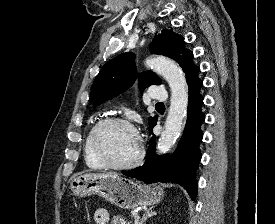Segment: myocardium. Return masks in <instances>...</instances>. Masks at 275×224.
Segmentation results:
<instances>
[{
    "instance_id": "obj_1",
    "label": "myocardium",
    "mask_w": 275,
    "mask_h": 224,
    "mask_svg": "<svg viewBox=\"0 0 275 224\" xmlns=\"http://www.w3.org/2000/svg\"><path fill=\"white\" fill-rule=\"evenodd\" d=\"M116 124H121L125 125L129 128H131L134 133L136 134L137 140H138V151L136 156L129 162L126 163H114L112 162L109 157L106 155L104 152L102 146H101V136L104 132V130L112 125ZM90 143H91V148L96 156V158L107 168L114 169V170H127L134 168L138 166L143 158H144V145H143V140L142 137L137 130L136 126L129 121L126 118L119 117V116H110L105 119L100 120L95 127L92 130L91 137H90Z\"/></svg>"
}]
</instances>
